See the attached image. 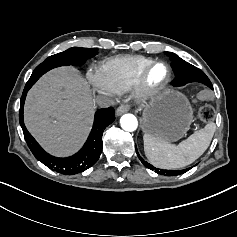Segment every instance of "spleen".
Instances as JSON below:
<instances>
[{"label":"spleen","instance_id":"obj_1","mask_svg":"<svg viewBox=\"0 0 237 237\" xmlns=\"http://www.w3.org/2000/svg\"><path fill=\"white\" fill-rule=\"evenodd\" d=\"M216 130L215 123H208L178 145L144 134V152L155 167L179 169L192 164L209 147Z\"/></svg>","mask_w":237,"mask_h":237}]
</instances>
